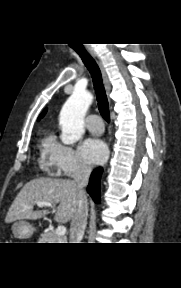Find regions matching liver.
Instances as JSON below:
<instances>
[{"label":"liver","mask_w":181,"mask_h":288,"mask_svg":"<svg viewBox=\"0 0 181 288\" xmlns=\"http://www.w3.org/2000/svg\"><path fill=\"white\" fill-rule=\"evenodd\" d=\"M59 203L55 221L67 223L77 213L78 193L74 181L69 179L39 178L24 185L10 206L5 222L37 220L45 217L48 210H33L38 202Z\"/></svg>","instance_id":"obj_1"}]
</instances>
